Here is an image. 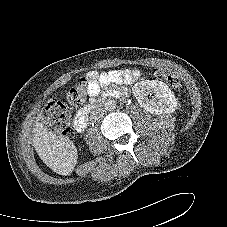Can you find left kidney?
Segmentation results:
<instances>
[{"label": "left kidney", "mask_w": 227, "mask_h": 227, "mask_svg": "<svg viewBox=\"0 0 227 227\" xmlns=\"http://www.w3.org/2000/svg\"><path fill=\"white\" fill-rule=\"evenodd\" d=\"M149 93H154L155 98L149 99ZM133 94L141 107L151 114L173 113L178 104L170 88L165 83L157 80L137 82L133 87Z\"/></svg>", "instance_id": "left-kidney-1"}]
</instances>
